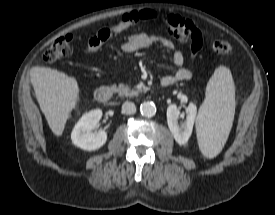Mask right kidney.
Segmentation results:
<instances>
[{
  "instance_id": "1",
  "label": "right kidney",
  "mask_w": 275,
  "mask_h": 215,
  "mask_svg": "<svg viewBox=\"0 0 275 215\" xmlns=\"http://www.w3.org/2000/svg\"><path fill=\"white\" fill-rule=\"evenodd\" d=\"M102 116V110L95 109L84 114L76 123L71 133L72 143L87 151L99 149L107 140V131L101 130L93 133Z\"/></svg>"
}]
</instances>
